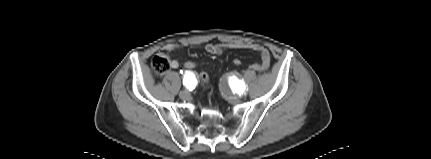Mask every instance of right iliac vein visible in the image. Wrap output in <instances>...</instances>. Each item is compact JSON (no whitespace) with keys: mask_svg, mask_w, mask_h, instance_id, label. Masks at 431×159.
<instances>
[{"mask_svg":"<svg viewBox=\"0 0 431 159\" xmlns=\"http://www.w3.org/2000/svg\"><path fill=\"white\" fill-rule=\"evenodd\" d=\"M179 96H180V98H181V99H188V98H189V96H190V93H189V91H188V90H182V91L179 93Z\"/></svg>","mask_w":431,"mask_h":159,"instance_id":"obj_1","label":"right iliac vein"}]
</instances>
